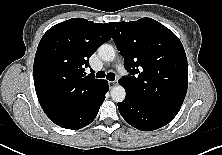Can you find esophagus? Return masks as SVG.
I'll return each mask as SVG.
<instances>
[{
	"instance_id": "1",
	"label": "esophagus",
	"mask_w": 222,
	"mask_h": 155,
	"mask_svg": "<svg viewBox=\"0 0 222 155\" xmlns=\"http://www.w3.org/2000/svg\"><path fill=\"white\" fill-rule=\"evenodd\" d=\"M110 86H114L117 84V81H109Z\"/></svg>"
}]
</instances>
